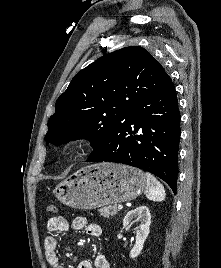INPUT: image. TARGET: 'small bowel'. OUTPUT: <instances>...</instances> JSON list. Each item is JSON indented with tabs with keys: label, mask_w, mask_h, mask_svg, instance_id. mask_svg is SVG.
I'll return each mask as SVG.
<instances>
[{
	"label": "small bowel",
	"mask_w": 221,
	"mask_h": 268,
	"mask_svg": "<svg viewBox=\"0 0 221 268\" xmlns=\"http://www.w3.org/2000/svg\"><path fill=\"white\" fill-rule=\"evenodd\" d=\"M47 230L50 234L44 239V249L46 260L51 268H64L60 263L57 253L58 239L53 233H65L69 230H85L93 237H99L102 233L98 224L89 222L85 217L80 216L74 218L71 222L59 216L50 217L47 221ZM77 268H110V264L105 255L99 254L93 263L88 260L81 261Z\"/></svg>",
	"instance_id": "obj_1"
}]
</instances>
